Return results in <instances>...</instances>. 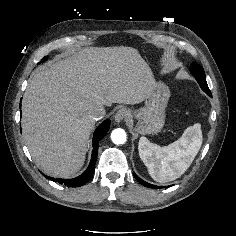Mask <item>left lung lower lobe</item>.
Returning <instances> with one entry per match:
<instances>
[{
	"mask_svg": "<svg viewBox=\"0 0 236 236\" xmlns=\"http://www.w3.org/2000/svg\"><path fill=\"white\" fill-rule=\"evenodd\" d=\"M210 96H212V95H210ZM133 175H134V177L136 178V180H137L138 182H140L142 185H144V186H146V187H148V188H156L155 185H152V184L147 183V182L143 181L142 179H140L134 172H133ZM158 188H162V186H159Z\"/></svg>",
	"mask_w": 236,
	"mask_h": 236,
	"instance_id": "1",
	"label": "left lung lower lobe"
}]
</instances>
